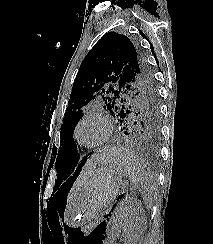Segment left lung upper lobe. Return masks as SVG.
Listing matches in <instances>:
<instances>
[{
    "instance_id": "left-lung-upper-lobe-1",
    "label": "left lung upper lobe",
    "mask_w": 213,
    "mask_h": 244,
    "mask_svg": "<svg viewBox=\"0 0 213 244\" xmlns=\"http://www.w3.org/2000/svg\"><path fill=\"white\" fill-rule=\"evenodd\" d=\"M94 99H101L119 122L145 134L159 132V100L148 64L127 36L108 32L85 56L73 83L55 158L58 181L70 175L79 156L73 132L82 108Z\"/></svg>"
}]
</instances>
